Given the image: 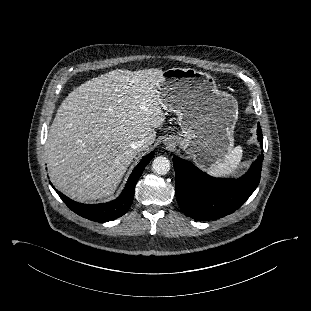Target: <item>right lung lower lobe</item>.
<instances>
[{
    "instance_id": "1",
    "label": "right lung lower lobe",
    "mask_w": 311,
    "mask_h": 311,
    "mask_svg": "<svg viewBox=\"0 0 311 311\" xmlns=\"http://www.w3.org/2000/svg\"><path fill=\"white\" fill-rule=\"evenodd\" d=\"M153 157L154 153H150L141 160V162L132 171V174L130 175L121 195L111 202L103 204H92V205L81 204L69 199L64 194L58 192L57 190L56 192L63 200V202L73 212L77 213L78 215L84 218L96 222H107L114 220L124 215L129 210L131 203L133 201L136 183L138 182L146 165L152 160Z\"/></svg>"
}]
</instances>
